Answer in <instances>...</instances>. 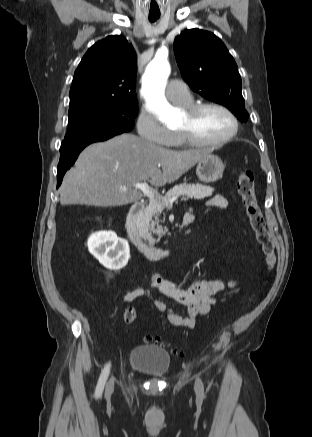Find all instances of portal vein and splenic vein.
<instances>
[{
	"label": "portal vein and splenic vein",
	"instance_id": "portal-vein-and-splenic-vein-1",
	"mask_svg": "<svg viewBox=\"0 0 312 437\" xmlns=\"http://www.w3.org/2000/svg\"><path fill=\"white\" fill-rule=\"evenodd\" d=\"M133 187H135L136 189H139L143 192L144 195H146L150 200H156L158 198H161L158 194V192L151 188L146 182L143 183H135L133 184ZM123 190H126V187H122ZM163 200L166 201L165 198H161ZM177 199V197H174L172 199H169L168 202L170 204V206L172 207L173 202Z\"/></svg>",
	"mask_w": 312,
	"mask_h": 437
}]
</instances>
